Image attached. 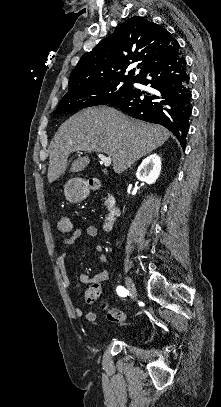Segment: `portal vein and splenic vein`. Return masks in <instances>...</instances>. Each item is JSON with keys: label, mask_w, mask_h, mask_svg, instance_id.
Returning <instances> with one entry per match:
<instances>
[{"label": "portal vein and splenic vein", "mask_w": 221, "mask_h": 407, "mask_svg": "<svg viewBox=\"0 0 221 407\" xmlns=\"http://www.w3.org/2000/svg\"><path fill=\"white\" fill-rule=\"evenodd\" d=\"M80 153V152H78ZM98 158L100 159L101 163L105 166V167H109L111 165L112 159L111 157H106L105 155L98 153L97 154Z\"/></svg>", "instance_id": "18ae733b"}]
</instances>
